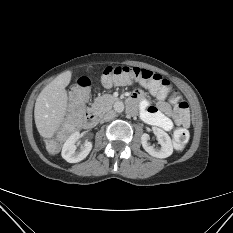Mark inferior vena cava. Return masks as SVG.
<instances>
[{"label":"inferior vena cava","mask_w":233,"mask_h":233,"mask_svg":"<svg viewBox=\"0 0 233 233\" xmlns=\"http://www.w3.org/2000/svg\"><path fill=\"white\" fill-rule=\"evenodd\" d=\"M116 112L114 110H108L106 113L103 115V121H109L115 118Z\"/></svg>","instance_id":"inferior-vena-cava-1"}]
</instances>
